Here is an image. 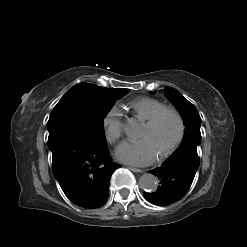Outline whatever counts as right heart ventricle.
<instances>
[{"label":"right heart ventricle","instance_id":"1","mask_svg":"<svg viewBox=\"0 0 247 247\" xmlns=\"http://www.w3.org/2000/svg\"><path fill=\"white\" fill-rule=\"evenodd\" d=\"M129 106L134 115L142 121L148 120L159 110L166 107L163 102L151 97L137 98L133 100Z\"/></svg>","mask_w":247,"mask_h":247}]
</instances>
